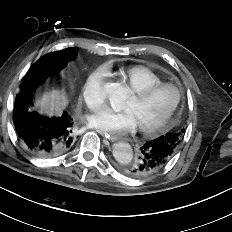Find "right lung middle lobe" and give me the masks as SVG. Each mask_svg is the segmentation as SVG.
<instances>
[{
  "mask_svg": "<svg viewBox=\"0 0 232 232\" xmlns=\"http://www.w3.org/2000/svg\"><path fill=\"white\" fill-rule=\"evenodd\" d=\"M77 56L76 48H67L61 51L46 54L39 58L24 76L20 88L42 83L50 74L59 72L68 62Z\"/></svg>",
  "mask_w": 232,
  "mask_h": 232,
  "instance_id": "obj_1",
  "label": "right lung middle lobe"
}]
</instances>
